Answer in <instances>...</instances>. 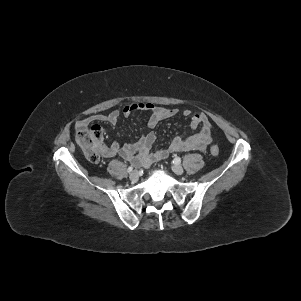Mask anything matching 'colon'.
Here are the masks:
<instances>
[{
  "instance_id": "colon-1",
  "label": "colon",
  "mask_w": 301,
  "mask_h": 301,
  "mask_svg": "<svg viewBox=\"0 0 301 301\" xmlns=\"http://www.w3.org/2000/svg\"><path fill=\"white\" fill-rule=\"evenodd\" d=\"M104 131L97 124L87 125L77 129L76 140L82 148L86 158L91 162H97L102 154ZM213 156H218L219 147L213 144L210 148Z\"/></svg>"
}]
</instances>
